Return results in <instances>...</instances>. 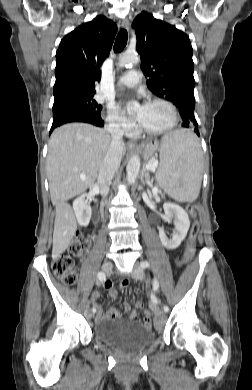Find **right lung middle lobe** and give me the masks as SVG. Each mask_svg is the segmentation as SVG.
Returning a JSON list of instances; mask_svg holds the SVG:
<instances>
[{
	"mask_svg": "<svg viewBox=\"0 0 252 390\" xmlns=\"http://www.w3.org/2000/svg\"><path fill=\"white\" fill-rule=\"evenodd\" d=\"M93 95H77L54 101L53 117L64 113H79L101 118L102 106L92 98Z\"/></svg>",
	"mask_w": 252,
	"mask_h": 390,
	"instance_id": "right-lung-middle-lobe-1",
	"label": "right lung middle lobe"
}]
</instances>
